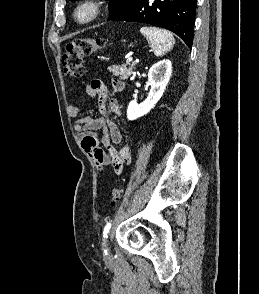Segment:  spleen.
<instances>
[{"label": "spleen", "instance_id": "obj_1", "mask_svg": "<svg viewBox=\"0 0 259 294\" xmlns=\"http://www.w3.org/2000/svg\"><path fill=\"white\" fill-rule=\"evenodd\" d=\"M140 32L147 39L154 54L158 57L165 55L175 44L173 35L165 29L142 27Z\"/></svg>", "mask_w": 259, "mask_h": 294}]
</instances>
